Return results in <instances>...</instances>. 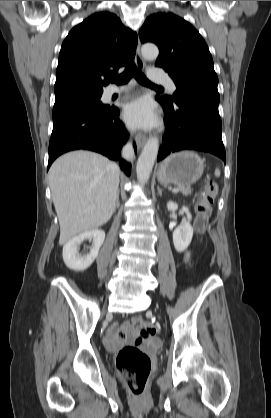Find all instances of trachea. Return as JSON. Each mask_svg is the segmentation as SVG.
<instances>
[{
  "instance_id": "trachea-1",
  "label": "trachea",
  "mask_w": 271,
  "mask_h": 418,
  "mask_svg": "<svg viewBox=\"0 0 271 418\" xmlns=\"http://www.w3.org/2000/svg\"><path fill=\"white\" fill-rule=\"evenodd\" d=\"M133 76L140 84L144 86L162 89V87L151 83L134 63L129 64L122 74L119 76L110 77L109 80L113 83H116L117 85H123L126 84Z\"/></svg>"
}]
</instances>
